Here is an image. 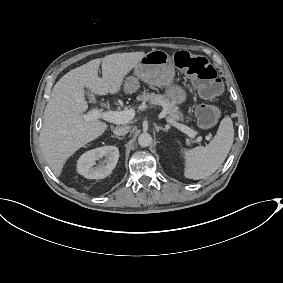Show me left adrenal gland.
<instances>
[{"mask_svg": "<svg viewBox=\"0 0 283 283\" xmlns=\"http://www.w3.org/2000/svg\"><path fill=\"white\" fill-rule=\"evenodd\" d=\"M155 129H156V132H157V133L160 132V131H163V132H165V133L168 132L166 129H163L162 127H155Z\"/></svg>", "mask_w": 283, "mask_h": 283, "instance_id": "a2214340", "label": "left adrenal gland"}]
</instances>
